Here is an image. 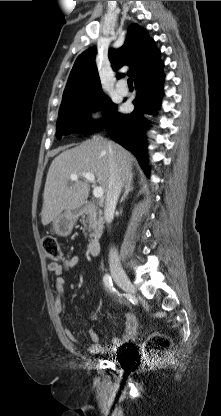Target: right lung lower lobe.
I'll return each mask as SVG.
<instances>
[{
    "instance_id": "98d812e1",
    "label": "right lung lower lobe",
    "mask_w": 221,
    "mask_h": 416,
    "mask_svg": "<svg viewBox=\"0 0 221 416\" xmlns=\"http://www.w3.org/2000/svg\"><path fill=\"white\" fill-rule=\"evenodd\" d=\"M164 74L162 68L135 81L137 94L131 114H120L116 110L110 115L106 129L112 139L131 151L140 165L146 167L145 130L148 127L146 114H152L159 106L163 93Z\"/></svg>"
}]
</instances>
